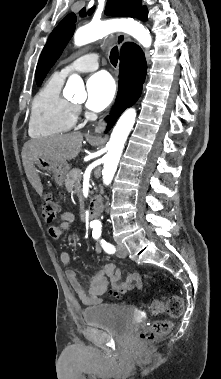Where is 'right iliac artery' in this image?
I'll return each mask as SVG.
<instances>
[{
	"instance_id": "right-iliac-artery-1",
	"label": "right iliac artery",
	"mask_w": 221,
	"mask_h": 379,
	"mask_svg": "<svg viewBox=\"0 0 221 379\" xmlns=\"http://www.w3.org/2000/svg\"><path fill=\"white\" fill-rule=\"evenodd\" d=\"M91 227H92V228H96L97 226H96L95 224H92Z\"/></svg>"
}]
</instances>
